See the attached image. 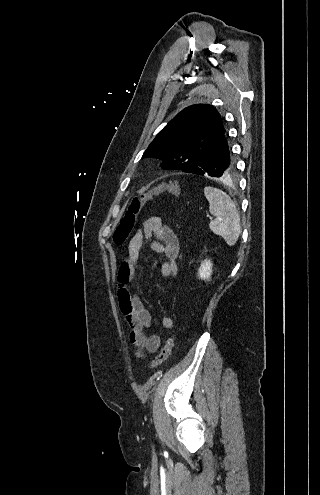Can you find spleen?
<instances>
[{
  "mask_svg": "<svg viewBox=\"0 0 320 495\" xmlns=\"http://www.w3.org/2000/svg\"><path fill=\"white\" fill-rule=\"evenodd\" d=\"M204 195L209 201L210 213L215 216L209 228L221 236L228 246H234L241 232L240 217L234 202L227 193L214 187H205Z\"/></svg>",
  "mask_w": 320,
  "mask_h": 495,
  "instance_id": "3e777b00",
  "label": "spleen"
}]
</instances>
